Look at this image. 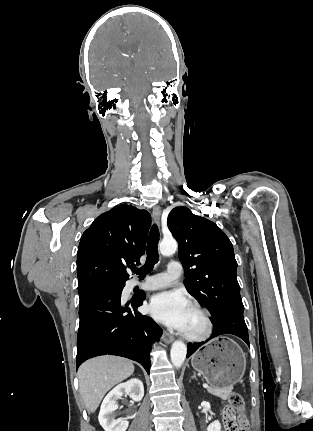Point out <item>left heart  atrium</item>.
Instances as JSON below:
<instances>
[{"label":"left heart atrium","mask_w":313,"mask_h":431,"mask_svg":"<svg viewBox=\"0 0 313 431\" xmlns=\"http://www.w3.org/2000/svg\"><path fill=\"white\" fill-rule=\"evenodd\" d=\"M191 304L179 291H164L154 295L149 312L161 323L184 332Z\"/></svg>","instance_id":"1"}]
</instances>
